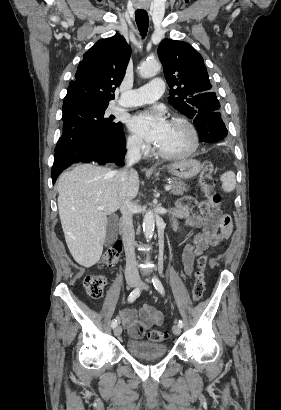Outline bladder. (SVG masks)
<instances>
[{
	"mask_svg": "<svg viewBox=\"0 0 281 410\" xmlns=\"http://www.w3.org/2000/svg\"><path fill=\"white\" fill-rule=\"evenodd\" d=\"M129 354L139 358H157L167 354V346L157 342H150L139 339H130L127 342Z\"/></svg>",
	"mask_w": 281,
	"mask_h": 410,
	"instance_id": "1",
	"label": "bladder"
}]
</instances>
